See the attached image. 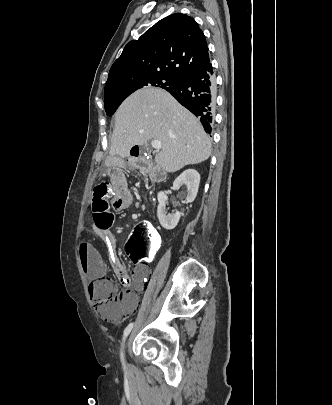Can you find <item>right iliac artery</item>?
<instances>
[{
  "label": "right iliac artery",
  "instance_id": "obj_1",
  "mask_svg": "<svg viewBox=\"0 0 332 405\" xmlns=\"http://www.w3.org/2000/svg\"><path fill=\"white\" fill-rule=\"evenodd\" d=\"M133 326H134V323H130V324L125 328L124 333H123V341H124V340L126 339V337L129 335V333L131 332ZM121 359H122V362H123V365H124V359H123V353H122V352H121Z\"/></svg>",
  "mask_w": 332,
  "mask_h": 405
}]
</instances>
